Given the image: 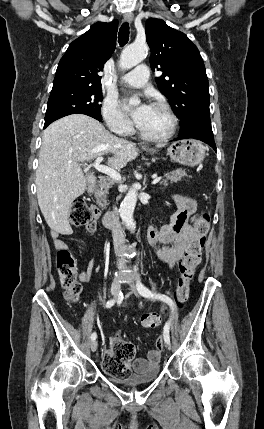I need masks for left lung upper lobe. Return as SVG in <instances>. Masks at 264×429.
I'll return each mask as SVG.
<instances>
[{
    "instance_id": "5c2ea615",
    "label": "left lung upper lobe",
    "mask_w": 264,
    "mask_h": 429,
    "mask_svg": "<svg viewBox=\"0 0 264 429\" xmlns=\"http://www.w3.org/2000/svg\"><path fill=\"white\" fill-rule=\"evenodd\" d=\"M145 32L152 70L163 72L157 86L180 118L181 133L210 119L208 78L197 47L161 19L147 20Z\"/></svg>"
}]
</instances>
